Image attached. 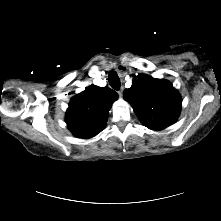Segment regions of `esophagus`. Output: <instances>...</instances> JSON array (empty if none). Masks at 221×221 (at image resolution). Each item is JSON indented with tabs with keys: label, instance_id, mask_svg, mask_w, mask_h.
Masks as SVG:
<instances>
[{
	"label": "esophagus",
	"instance_id": "obj_1",
	"mask_svg": "<svg viewBox=\"0 0 221 221\" xmlns=\"http://www.w3.org/2000/svg\"><path fill=\"white\" fill-rule=\"evenodd\" d=\"M123 93V87H121V89L118 91L119 96H122Z\"/></svg>",
	"mask_w": 221,
	"mask_h": 221
}]
</instances>
